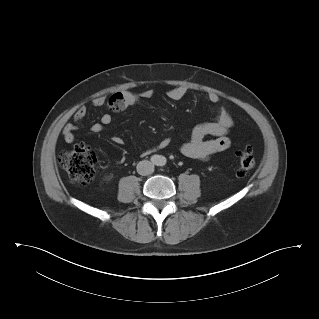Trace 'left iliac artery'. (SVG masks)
I'll use <instances>...</instances> for the list:
<instances>
[{
    "label": "left iliac artery",
    "mask_w": 319,
    "mask_h": 319,
    "mask_svg": "<svg viewBox=\"0 0 319 319\" xmlns=\"http://www.w3.org/2000/svg\"><path fill=\"white\" fill-rule=\"evenodd\" d=\"M166 164V158L165 157H161L160 159H159V165L160 166H164Z\"/></svg>",
    "instance_id": "left-iliac-artery-1"
}]
</instances>
